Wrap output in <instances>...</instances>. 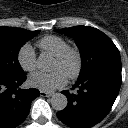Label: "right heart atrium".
Listing matches in <instances>:
<instances>
[{
  "instance_id": "d8ad5b80",
  "label": "right heart atrium",
  "mask_w": 128,
  "mask_h": 128,
  "mask_svg": "<svg viewBox=\"0 0 128 128\" xmlns=\"http://www.w3.org/2000/svg\"><path fill=\"white\" fill-rule=\"evenodd\" d=\"M17 59L23 70L32 72L37 67L36 54L30 44H24L18 51Z\"/></svg>"
}]
</instances>
